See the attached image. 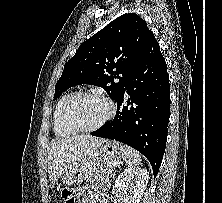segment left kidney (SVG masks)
<instances>
[{
  "label": "left kidney",
  "mask_w": 222,
  "mask_h": 203,
  "mask_svg": "<svg viewBox=\"0 0 222 203\" xmlns=\"http://www.w3.org/2000/svg\"><path fill=\"white\" fill-rule=\"evenodd\" d=\"M148 172L144 168H128L119 174L112 194L122 197L121 203H139L148 183Z\"/></svg>",
  "instance_id": "5707ae66"
}]
</instances>
